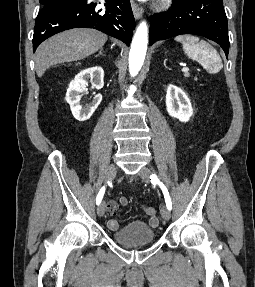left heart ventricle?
<instances>
[{"mask_svg": "<svg viewBox=\"0 0 255 287\" xmlns=\"http://www.w3.org/2000/svg\"><path fill=\"white\" fill-rule=\"evenodd\" d=\"M147 39H158V38H147ZM135 48H163V47H135Z\"/></svg>", "mask_w": 255, "mask_h": 287, "instance_id": "1", "label": "left heart ventricle"}]
</instances>
